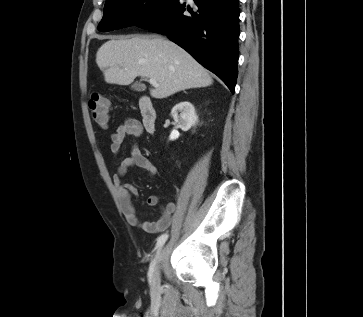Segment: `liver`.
Here are the masks:
<instances>
[{
    "mask_svg": "<svg viewBox=\"0 0 363 317\" xmlns=\"http://www.w3.org/2000/svg\"><path fill=\"white\" fill-rule=\"evenodd\" d=\"M96 63L109 84L129 85L137 76L155 79L159 87L150 95L157 99L213 83L189 53L161 36L111 39L98 49Z\"/></svg>",
    "mask_w": 363,
    "mask_h": 317,
    "instance_id": "6515ba94",
    "label": "liver"
}]
</instances>
